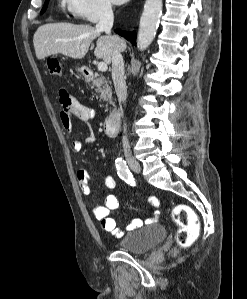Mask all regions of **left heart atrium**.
I'll return each mask as SVG.
<instances>
[{"label":"left heart atrium","mask_w":247,"mask_h":299,"mask_svg":"<svg viewBox=\"0 0 247 299\" xmlns=\"http://www.w3.org/2000/svg\"><path fill=\"white\" fill-rule=\"evenodd\" d=\"M115 4H122L128 0H112Z\"/></svg>","instance_id":"left-heart-atrium-1"}]
</instances>
